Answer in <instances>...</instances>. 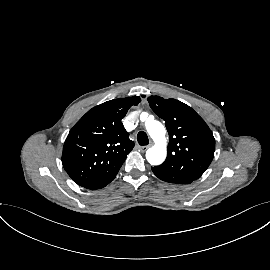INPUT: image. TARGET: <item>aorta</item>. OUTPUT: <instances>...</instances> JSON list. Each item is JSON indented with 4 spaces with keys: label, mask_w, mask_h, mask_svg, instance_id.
Masks as SVG:
<instances>
[{
    "label": "aorta",
    "mask_w": 270,
    "mask_h": 270,
    "mask_svg": "<svg viewBox=\"0 0 270 270\" xmlns=\"http://www.w3.org/2000/svg\"><path fill=\"white\" fill-rule=\"evenodd\" d=\"M146 129L155 142V145L146 151V159L151 165H160L167 155L165 128L161 122L151 120L146 123Z\"/></svg>",
    "instance_id": "aorta-1"
}]
</instances>
